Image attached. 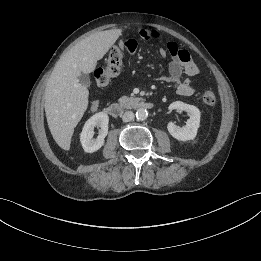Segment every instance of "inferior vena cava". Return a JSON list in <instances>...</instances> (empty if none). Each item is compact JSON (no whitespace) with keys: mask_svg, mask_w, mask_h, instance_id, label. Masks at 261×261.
I'll use <instances>...</instances> for the list:
<instances>
[{"mask_svg":"<svg viewBox=\"0 0 261 261\" xmlns=\"http://www.w3.org/2000/svg\"><path fill=\"white\" fill-rule=\"evenodd\" d=\"M134 119V113L132 111H126L122 115V120L124 122H129Z\"/></svg>","mask_w":261,"mask_h":261,"instance_id":"obj_1","label":"inferior vena cava"}]
</instances>
